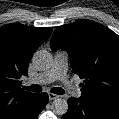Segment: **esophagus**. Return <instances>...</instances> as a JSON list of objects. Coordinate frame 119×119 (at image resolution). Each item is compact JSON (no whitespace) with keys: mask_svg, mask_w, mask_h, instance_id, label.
<instances>
[{"mask_svg":"<svg viewBox=\"0 0 119 119\" xmlns=\"http://www.w3.org/2000/svg\"><path fill=\"white\" fill-rule=\"evenodd\" d=\"M48 96H49V100H50V101H52V100H55V99L59 98V96H58V95L53 94V93H49V94H48Z\"/></svg>","mask_w":119,"mask_h":119,"instance_id":"esophagus-1","label":"esophagus"}]
</instances>
